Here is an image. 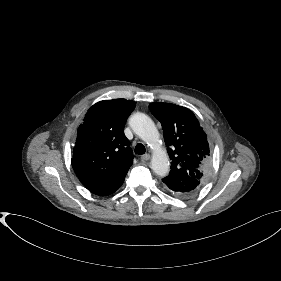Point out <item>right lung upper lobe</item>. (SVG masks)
I'll return each instance as SVG.
<instances>
[{
    "instance_id": "cb5924a9",
    "label": "right lung upper lobe",
    "mask_w": 281,
    "mask_h": 281,
    "mask_svg": "<svg viewBox=\"0 0 281 281\" xmlns=\"http://www.w3.org/2000/svg\"><path fill=\"white\" fill-rule=\"evenodd\" d=\"M135 106L126 99L100 101L88 110L78 128L72 167L83 185L96 195L114 193L133 163L123 128Z\"/></svg>"
}]
</instances>
